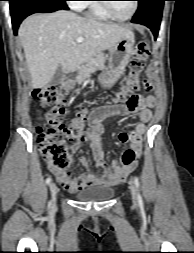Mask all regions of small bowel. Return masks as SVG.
<instances>
[{"label":"small bowel","mask_w":194,"mask_h":253,"mask_svg":"<svg viewBox=\"0 0 194 253\" xmlns=\"http://www.w3.org/2000/svg\"><path fill=\"white\" fill-rule=\"evenodd\" d=\"M144 88L150 92L153 87L148 80H144ZM155 104L156 100L153 95L142 96L140 93H131V97H126L125 104L120 103L95 110L89 118V127L70 145V152L76 153L84 142H88L101 173L86 172L75 177L71 171H59L49 166L61 186L68 192H76L92 185L114 186L122 183L137 166V158L142 151V138L147 131V123L152 118V109ZM130 115H136L138 122L132 131L121 132L119 141L129 144V150L135 153V160L129 165L118 161H113L109 165L104 159L101 122L107 117ZM80 161L82 165L88 167L86 158L82 157Z\"/></svg>","instance_id":"c3829d8e"}]
</instances>
